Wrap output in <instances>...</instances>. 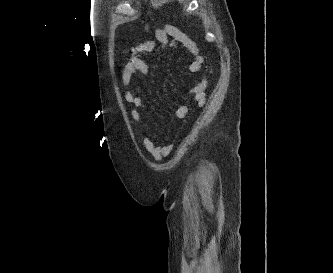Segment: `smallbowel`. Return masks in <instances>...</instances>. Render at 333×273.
I'll return each mask as SVG.
<instances>
[{
  "label": "small bowel",
  "instance_id": "c3829d8e",
  "mask_svg": "<svg viewBox=\"0 0 333 273\" xmlns=\"http://www.w3.org/2000/svg\"><path fill=\"white\" fill-rule=\"evenodd\" d=\"M155 37L157 41L147 40L138 43L131 47L128 51V60L124 65L121 74V84L124 88L123 97L126 102L131 104L130 114L135 124L137 132L141 136L142 143L154 160L158 161L164 156L167 150L154 143V141L147 135L145 127L141 118L142 100L133 92L134 75L141 73L149 75L150 69L148 64L141 58L144 53L164 50L167 47H176L191 55V62L189 70L192 73H199L203 63V57L193 41V39L179 28L166 24L156 30ZM207 82L201 79L197 84L189 89V95L194 99L197 105L202 106L204 103L205 89ZM186 114V107H180L177 110L178 117H184Z\"/></svg>",
  "mask_w": 333,
  "mask_h": 273
}]
</instances>
